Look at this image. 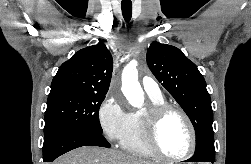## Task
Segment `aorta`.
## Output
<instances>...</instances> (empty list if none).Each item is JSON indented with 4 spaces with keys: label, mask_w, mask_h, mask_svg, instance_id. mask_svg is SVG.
<instances>
[{
    "label": "aorta",
    "mask_w": 251,
    "mask_h": 164,
    "mask_svg": "<svg viewBox=\"0 0 251 164\" xmlns=\"http://www.w3.org/2000/svg\"><path fill=\"white\" fill-rule=\"evenodd\" d=\"M122 92L128 102L134 107H141L144 102V92L138 82L137 61L132 60L122 72Z\"/></svg>",
    "instance_id": "762f6f07"
}]
</instances>
